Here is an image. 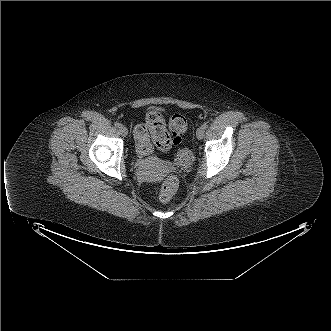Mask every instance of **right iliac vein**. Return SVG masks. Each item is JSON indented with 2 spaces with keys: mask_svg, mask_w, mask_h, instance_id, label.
<instances>
[{
  "mask_svg": "<svg viewBox=\"0 0 331 331\" xmlns=\"http://www.w3.org/2000/svg\"><path fill=\"white\" fill-rule=\"evenodd\" d=\"M119 132L122 136L126 137L128 134V129L124 125H120L119 127Z\"/></svg>",
  "mask_w": 331,
  "mask_h": 331,
  "instance_id": "63e3f726",
  "label": "right iliac vein"
}]
</instances>
